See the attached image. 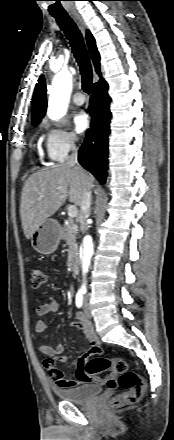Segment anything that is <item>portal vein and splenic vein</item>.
<instances>
[{"mask_svg":"<svg viewBox=\"0 0 174 440\" xmlns=\"http://www.w3.org/2000/svg\"><path fill=\"white\" fill-rule=\"evenodd\" d=\"M43 198V196L39 197V200H41ZM78 215V209L76 207V205H69L68 206V216L73 219L75 217H77Z\"/></svg>","mask_w":174,"mask_h":440,"instance_id":"1","label":"portal vein and splenic vein"}]
</instances>
